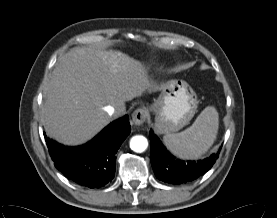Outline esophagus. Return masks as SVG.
I'll return each instance as SVG.
<instances>
[{
    "label": "esophagus",
    "mask_w": 277,
    "mask_h": 218,
    "mask_svg": "<svg viewBox=\"0 0 277 218\" xmlns=\"http://www.w3.org/2000/svg\"><path fill=\"white\" fill-rule=\"evenodd\" d=\"M148 110L145 107L136 109L132 114V119L135 125H141L146 121Z\"/></svg>",
    "instance_id": "34e87169"
}]
</instances>
